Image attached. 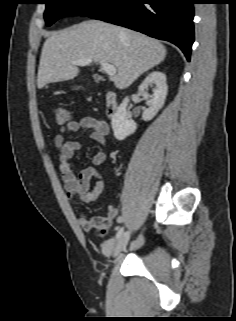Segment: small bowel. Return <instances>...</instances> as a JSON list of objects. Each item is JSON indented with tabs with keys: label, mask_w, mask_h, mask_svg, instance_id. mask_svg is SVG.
<instances>
[{
	"label": "small bowel",
	"mask_w": 236,
	"mask_h": 321,
	"mask_svg": "<svg viewBox=\"0 0 236 321\" xmlns=\"http://www.w3.org/2000/svg\"><path fill=\"white\" fill-rule=\"evenodd\" d=\"M81 129H90L91 137L104 146L106 136L110 134V125L95 116H85L79 121H69L60 126L59 132L54 137V145L57 150L58 165L64 182L65 195L72 204L91 203L96 201L104 191V180L102 174L96 169L105 163L107 155L104 151L96 152L92 158L91 166L84 168L79 173H75L71 166V159L80 149V143L76 140H65L64 135L75 133ZM95 179L93 188H90V181ZM118 217V209L114 206L108 207L107 217L88 218L85 214L78 216V223L84 231L90 232L95 227L110 226L114 219ZM112 241L103 246L105 254L110 253Z\"/></svg>",
	"instance_id": "small-bowel-1"
}]
</instances>
